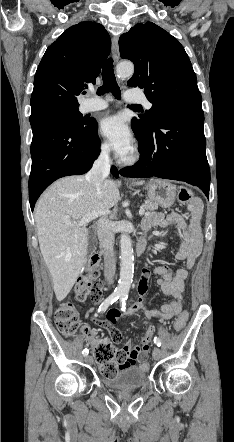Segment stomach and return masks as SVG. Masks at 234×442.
<instances>
[{
  "label": "stomach",
  "instance_id": "1",
  "mask_svg": "<svg viewBox=\"0 0 234 442\" xmlns=\"http://www.w3.org/2000/svg\"><path fill=\"white\" fill-rule=\"evenodd\" d=\"M149 199L163 208L173 205L176 200V187L165 180L151 179L146 185Z\"/></svg>",
  "mask_w": 234,
  "mask_h": 442
}]
</instances>
